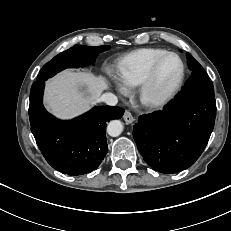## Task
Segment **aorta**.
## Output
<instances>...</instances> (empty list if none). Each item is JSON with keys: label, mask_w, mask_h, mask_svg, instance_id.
Masks as SVG:
<instances>
[{"label": "aorta", "mask_w": 231, "mask_h": 231, "mask_svg": "<svg viewBox=\"0 0 231 231\" xmlns=\"http://www.w3.org/2000/svg\"><path fill=\"white\" fill-rule=\"evenodd\" d=\"M124 126L119 120H112L107 126V133L112 137H117L123 132Z\"/></svg>", "instance_id": "762f6f07"}]
</instances>
